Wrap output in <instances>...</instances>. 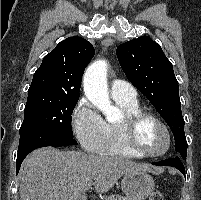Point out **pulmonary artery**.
I'll use <instances>...</instances> for the list:
<instances>
[{
    "label": "pulmonary artery",
    "mask_w": 201,
    "mask_h": 200,
    "mask_svg": "<svg viewBox=\"0 0 201 200\" xmlns=\"http://www.w3.org/2000/svg\"><path fill=\"white\" fill-rule=\"evenodd\" d=\"M110 94L112 98H120L126 100H135L136 90L127 82L120 79H114L111 82Z\"/></svg>",
    "instance_id": "1"
}]
</instances>
